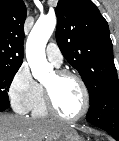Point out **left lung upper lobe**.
Returning <instances> with one entry per match:
<instances>
[{
	"instance_id": "obj_1",
	"label": "left lung upper lobe",
	"mask_w": 119,
	"mask_h": 141,
	"mask_svg": "<svg viewBox=\"0 0 119 141\" xmlns=\"http://www.w3.org/2000/svg\"><path fill=\"white\" fill-rule=\"evenodd\" d=\"M57 44L67 61L80 73L90 96V105L119 92L109 27L90 0H59Z\"/></svg>"
}]
</instances>
